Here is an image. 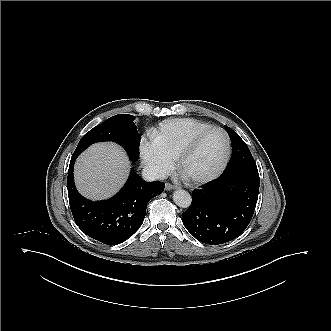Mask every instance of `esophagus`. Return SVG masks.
<instances>
[{
  "label": "esophagus",
  "mask_w": 331,
  "mask_h": 331,
  "mask_svg": "<svg viewBox=\"0 0 331 331\" xmlns=\"http://www.w3.org/2000/svg\"><path fill=\"white\" fill-rule=\"evenodd\" d=\"M177 186L176 185H173V184H170V183H166L165 185V190L166 191H170V190H173V189H176Z\"/></svg>",
  "instance_id": "obj_1"
}]
</instances>
